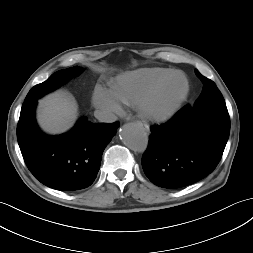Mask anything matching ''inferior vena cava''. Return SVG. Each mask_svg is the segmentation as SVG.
<instances>
[{"mask_svg": "<svg viewBox=\"0 0 253 253\" xmlns=\"http://www.w3.org/2000/svg\"><path fill=\"white\" fill-rule=\"evenodd\" d=\"M95 118H97L100 122L112 123L117 120V116L111 111L105 109H97L94 112Z\"/></svg>", "mask_w": 253, "mask_h": 253, "instance_id": "602c4592", "label": "inferior vena cava"}]
</instances>
